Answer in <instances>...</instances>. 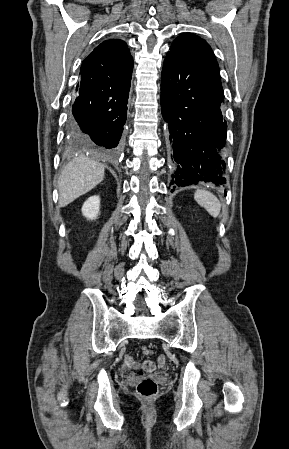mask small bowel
Segmentation results:
<instances>
[{
    "label": "small bowel",
    "mask_w": 289,
    "mask_h": 449,
    "mask_svg": "<svg viewBox=\"0 0 289 449\" xmlns=\"http://www.w3.org/2000/svg\"><path fill=\"white\" fill-rule=\"evenodd\" d=\"M165 357H166V354L164 352H161L159 354V357L157 358L158 368L163 369L166 367L167 364H166ZM124 362H125L126 366H128L129 368L135 369V370L142 368L143 370H146V371H152L156 367L155 362L151 361V360H147L140 365L131 355H125Z\"/></svg>",
    "instance_id": "1"
}]
</instances>
